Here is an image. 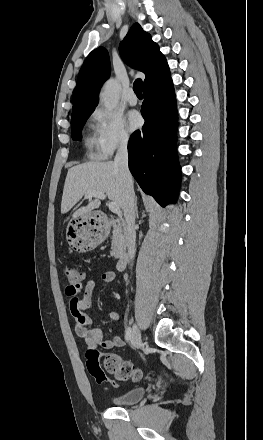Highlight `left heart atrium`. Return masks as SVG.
Returning <instances> with one entry per match:
<instances>
[{"mask_svg":"<svg viewBox=\"0 0 263 440\" xmlns=\"http://www.w3.org/2000/svg\"><path fill=\"white\" fill-rule=\"evenodd\" d=\"M127 120H128V127L132 131L139 128L142 124L141 116L136 111L130 112L128 114Z\"/></svg>","mask_w":263,"mask_h":440,"instance_id":"1","label":"left heart atrium"}]
</instances>
